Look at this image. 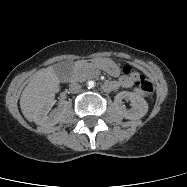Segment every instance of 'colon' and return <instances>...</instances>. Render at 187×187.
<instances>
[{"label":"colon","mask_w":187,"mask_h":187,"mask_svg":"<svg viewBox=\"0 0 187 187\" xmlns=\"http://www.w3.org/2000/svg\"><path fill=\"white\" fill-rule=\"evenodd\" d=\"M126 76L132 78L135 81L139 91L144 95H151L154 92V84L145 75L138 72L130 66L124 68Z\"/></svg>","instance_id":"obj_1"}]
</instances>
